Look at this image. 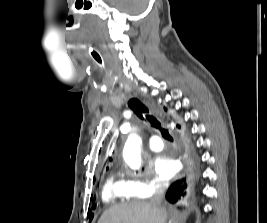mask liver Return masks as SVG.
I'll return each instance as SVG.
<instances>
[{"instance_id":"obj_1","label":"liver","mask_w":267,"mask_h":223,"mask_svg":"<svg viewBox=\"0 0 267 223\" xmlns=\"http://www.w3.org/2000/svg\"><path fill=\"white\" fill-rule=\"evenodd\" d=\"M166 216L164 207L146 201H133L110 207L98 223H165Z\"/></svg>"}]
</instances>
